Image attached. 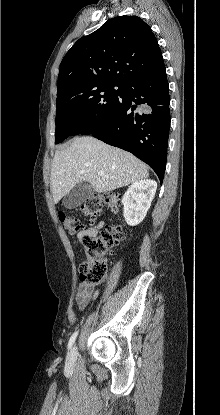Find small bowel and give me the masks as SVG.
<instances>
[{
	"instance_id": "small-bowel-1",
	"label": "small bowel",
	"mask_w": 220,
	"mask_h": 415,
	"mask_svg": "<svg viewBox=\"0 0 220 415\" xmlns=\"http://www.w3.org/2000/svg\"><path fill=\"white\" fill-rule=\"evenodd\" d=\"M105 226L104 222H99L97 225L87 228H82L77 233V239L82 242L83 237L99 233ZM97 295V291L89 285L80 283L75 295V301L79 309L83 310L87 307L92 299Z\"/></svg>"
}]
</instances>
